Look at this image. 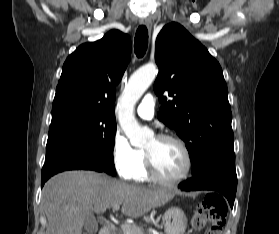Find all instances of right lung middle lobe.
<instances>
[{"mask_svg": "<svg viewBox=\"0 0 279 234\" xmlns=\"http://www.w3.org/2000/svg\"><path fill=\"white\" fill-rule=\"evenodd\" d=\"M115 134L113 115L84 110L52 112L45 162L65 153H79L99 164L104 172L115 175Z\"/></svg>", "mask_w": 279, "mask_h": 234, "instance_id": "dd1d6c3e", "label": "right lung middle lobe"}]
</instances>
